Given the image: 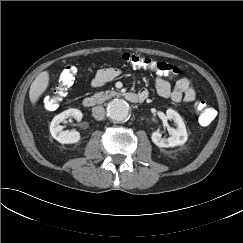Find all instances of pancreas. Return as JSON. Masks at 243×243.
Segmentation results:
<instances>
[{"mask_svg": "<svg viewBox=\"0 0 243 243\" xmlns=\"http://www.w3.org/2000/svg\"><path fill=\"white\" fill-rule=\"evenodd\" d=\"M118 95V92L113 91V90H108V91H101V92H97L93 95V99L98 102V103H102L104 102L106 99H109L112 96Z\"/></svg>", "mask_w": 243, "mask_h": 243, "instance_id": "pancreas-1", "label": "pancreas"}]
</instances>
